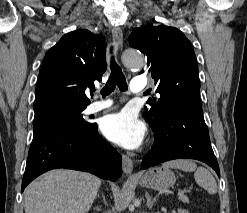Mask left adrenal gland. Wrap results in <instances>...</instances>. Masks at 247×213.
Returning <instances> with one entry per match:
<instances>
[{
    "label": "left adrenal gland",
    "mask_w": 247,
    "mask_h": 213,
    "mask_svg": "<svg viewBox=\"0 0 247 213\" xmlns=\"http://www.w3.org/2000/svg\"><path fill=\"white\" fill-rule=\"evenodd\" d=\"M145 197L147 199V203H146L147 208L152 209L154 203L157 200V197L152 198V196H150L148 192L145 193Z\"/></svg>",
    "instance_id": "1"
}]
</instances>
